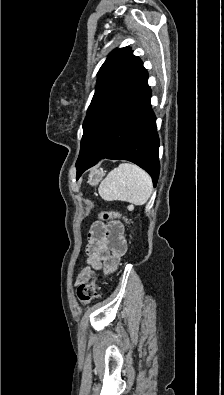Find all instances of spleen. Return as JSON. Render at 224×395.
Wrapping results in <instances>:
<instances>
[{
  "label": "spleen",
  "mask_w": 224,
  "mask_h": 395,
  "mask_svg": "<svg viewBox=\"0 0 224 395\" xmlns=\"http://www.w3.org/2000/svg\"><path fill=\"white\" fill-rule=\"evenodd\" d=\"M153 190L152 179L143 169L131 163H122L101 182L98 192L106 201H126L145 204Z\"/></svg>",
  "instance_id": "spleen-1"
}]
</instances>
